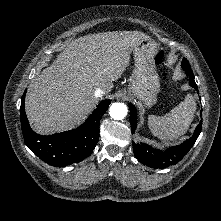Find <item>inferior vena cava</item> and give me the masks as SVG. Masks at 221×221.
<instances>
[{
    "label": "inferior vena cava",
    "mask_w": 221,
    "mask_h": 221,
    "mask_svg": "<svg viewBox=\"0 0 221 221\" xmlns=\"http://www.w3.org/2000/svg\"><path fill=\"white\" fill-rule=\"evenodd\" d=\"M105 94L104 90L100 89V88H97L94 92V96L95 97H102L103 95Z\"/></svg>",
    "instance_id": "inferior-vena-cava-1"
}]
</instances>
